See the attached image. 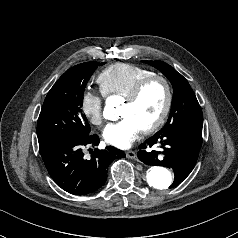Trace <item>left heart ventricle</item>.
Here are the masks:
<instances>
[{"label":"left heart ventricle","mask_w":238,"mask_h":238,"mask_svg":"<svg viewBox=\"0 0 238 238\" xmlns=\"http://www.w3.org/2000/svg\"><path fill=\"white\" fill-rule=\"evenodd\" d=\"M165 102V89L160 82H154L143 92L134 104L122 105L120 115L132 117L140 126L150 125L160 114Z\"/></svg>","instance_id":"1"}]
</instances>
